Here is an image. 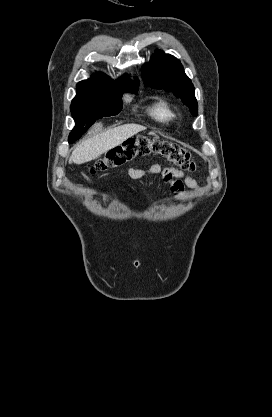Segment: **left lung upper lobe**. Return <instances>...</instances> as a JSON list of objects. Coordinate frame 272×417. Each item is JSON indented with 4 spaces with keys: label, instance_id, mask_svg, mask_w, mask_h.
Returning a JSON list of instances; mask_svg holds the SVG:
<instances>
[{
    "label": "left lung upper lobe",
    "instance_id": "5c2ea615",
    "mask_svg": "<svg viewBox=\"0 0 272 417\" xmlns=\"http://www.w3.org/2000/svg\"><path fill=\"white\" fill-rule=\"evenodd\" d=\"M142 78L147 87L173 92L189 106L193 115H197L198 104L194 95V86L177 58L156 50L150 61L143 65Z\"/></svg>",
    "mask_w": 272,
    "mask_h": 417
}]
</instances>
